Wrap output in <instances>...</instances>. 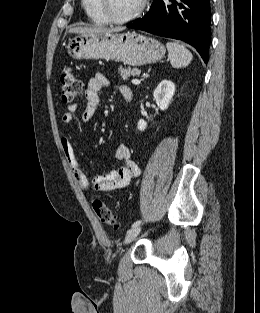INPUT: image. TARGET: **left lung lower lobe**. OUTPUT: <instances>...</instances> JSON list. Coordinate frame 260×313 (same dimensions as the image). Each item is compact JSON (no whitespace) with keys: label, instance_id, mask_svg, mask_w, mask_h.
<instances>
[{"label":"left lung lower lobe","instance_id":"0a47b994","mask_svg":"<svg viewBox=\"0 0 260 313\" xmlns=\"http://www.w3.org/2000/svg\"><path fill=\"white\" fill-rule=\"evenodd\" d=\"M209 0H154L149 12L127 27L185 41L208 62Z\"/></svg>","mask_w":260,"mask_h":313}]
</instances>
